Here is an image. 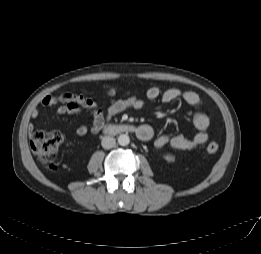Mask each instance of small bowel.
Instances as JSON below:
<instances>
[{"label": "small bowel", "instance_id": "obj_1", "mask_svg": "<svg viewBox=\"0 0 261 254\" xmlns=\"http://www.w3.org/2000/svg\"><path fill=\"white\" fill-rule=\"evenodd\" d=\"M161 99L163 102H172L182 100L194 110L193 122L197 129V133L192 137L184 135L170 136L166 134L155 136L154 130L149 125H141L138 127L137 135L142 141H153L157 148L170 146L178 150H194L207 142L209 138L210 118L201 110V100L197 93L190 90H182L180 88H168L161 90L156 86L147 89L144 97H130L127 99H112L105 106L100 107L96 102L83 95L73 93H63L58 96H46L42 99L43 106L57 105L55 114L57 116L65 114H79L81 112H89L93 118V124L89 128L87 125H80L76 129L78 136L91 132H98L105 123L110 121L115 115L122 111L133 108L139 110L144 107L148 101ZM40 115L39 109L32 111V118ZM34 130V125L30 124L29 131Z\"/></svg>", "mask_w": 261, "mask_h": 254}]
</instances>
